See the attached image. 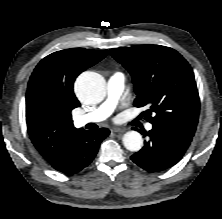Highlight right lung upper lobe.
<instances>
[{
	"label": "right lung upper lobe",
	"instance_id": "1",
	"mask_svg": "<svg viewBox=\"0 0 222 219\" xmlns=\"http://www.w3.org/2000/svg\"><path fill=\"white\" fill-rule=\"evenodd\" d=\"M107 50L72 48L42 59L33 71L26 93V121L32 143L51 164L84 129H76L71 111L80 106L73 92L76 77L101 61Z\"/></svg>",
	"mask_w": 222,
	"mask_h": 219
}]
</instances>
